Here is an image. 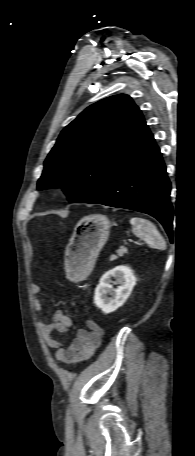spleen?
Returning <instances> with one entry per match:
<instances>
[{"instance_id":"obj_1","label":"spleen","mask_w":195,"mask_h":456,"mask_svg":"<svg viewBox=\"0 0 195 456\" xmlns=\"http://www.w3.org/2000/svg\"><path fill=\"white\" fill-rule=\"evenodd\" d=\"M132 232L144 240L150 247L164 250L166 243L156 226L149 220L134 217L131 218Z\"/></svg>"}]
</instances>
